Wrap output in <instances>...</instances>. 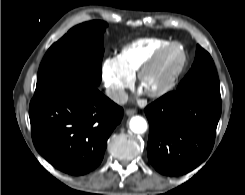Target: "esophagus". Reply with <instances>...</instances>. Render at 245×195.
<instances>
[{
	"label": "esophagus",
	"mask_w": 245,
	"mask_h": 195,
	"mask_svg": "<svg viewBox=\"0 0 245 195\" xmlns=\"http://www.w3.org/2000/svg\"><path fill=\"white\" fill-rule=\"evenodd\" d=\"M125 114L128 116H132V115L136 114V110L135 109H127L125 111Z\"/></svg>",
	"instance_id": "esophagus-1"
}]
</instances>
